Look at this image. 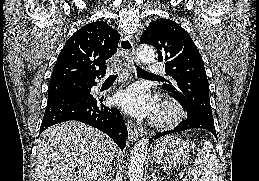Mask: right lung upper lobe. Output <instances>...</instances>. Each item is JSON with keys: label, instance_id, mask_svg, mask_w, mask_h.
I'll use <instances>...</instances> for the list:
<instances>
[{"label": "right lung upper lobe", "instance_id": "obj_1", "mask_svg": "<svg viewBox=\"0 0 259 181\" xmlns=\"http://www.w3.org/2000/svg\"><path fill=\"white\" fill-rule=\"evenodd\" d=\"M120 34L106 22L83 26L65 43L49 85L94 79L106 73L105 61L117 51Z\"/></svg>", "mask_w": 259, "mask_h": 181}]
</instances>
